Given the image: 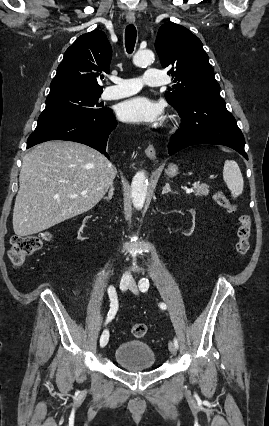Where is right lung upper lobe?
<instances>
[{"label":"right lung upper lobe","mask_w":269,"mask_h":426,"mask_svg":"<svg viewBox=\"0 0 269 426\" xmlns=\"http://www.w3.org/2000/svg\"><path fill=\"white\" fill-rule=\"evenodd\" d=\"M112 48L104 32L94 30L81 35L65 52L51 82L50 92L77 89L102 92L97 79L109 73Z\"/></svg>","instance_id":"right-lung-upper-lobe-1"}]
</instances>
